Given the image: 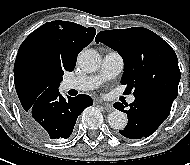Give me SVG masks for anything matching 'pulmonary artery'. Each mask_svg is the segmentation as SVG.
Instances as JSON below:
<instances>
[{"mask_svg":"<svg viewBox=\"0 0 190 165\" xmlns=\"http://www.w3.org/2000/svg\"><path fill=\"white\" fill-rule=\"evenodd\" d=\"M123 65L121 55L110 51L104 55L101 68L97 74L67 78L63 86L67 90L88 91L95 89L104 81L116 77L122 71ZM134 100L135 97L133 95L128 97L129 103H133Z\"/></svg>","mask_w":190,"mask_h":165,"instance_id":"e3ab8cb5","label":"pulmonary artery"}]
</instances>
